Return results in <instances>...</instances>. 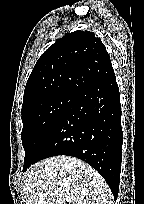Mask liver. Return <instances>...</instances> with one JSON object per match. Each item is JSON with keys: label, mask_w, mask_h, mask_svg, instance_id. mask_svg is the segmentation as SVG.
<instances>
[{"label": "liver", "mask_w": 144, "mask_h": 204, "mask_svg": "<svg viewBox=\"0 0 144 204\" xmlns=\"http://www.w3.org/2000/svg\"><path fill=\"white\" fill-rule=\"evenodd\" d=\"M26 204H112L101 175L84 161L56 156L35 164L24 180Z\"/></svg>", "instance_id": "1"}]
</instances>
